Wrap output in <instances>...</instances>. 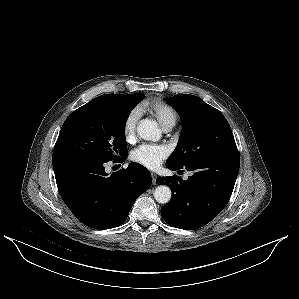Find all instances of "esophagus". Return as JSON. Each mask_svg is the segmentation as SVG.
<instances>
[{"label":"esophagus","mask_w":299,"mask_h":299,"mask_svg":"<svg viewBox=\"0 0 299 299\" xmlns=\"http://www.w3.org/2000/svg\"><path fill=\"white\" fill-rule=\"evenodd\" d=\"M151 177H152V184L155 185L156 184L157 175L155 173H151Z\"/></svg>","instance_id":"34e87169"}]
</instances>
